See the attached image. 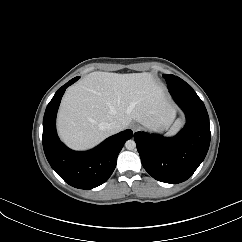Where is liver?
Segmentation results:
<instances>
[{"instance_id": "1", "label": "liver", "mask_w": 242, "mask_h": 242, "mask_svg": "<svg viewBox=\"0 0 242 242\" xmlns=\"http://www.w3.org/2000/svg\"><path fill=\"white\" fill-rule=\"evenodd\" d=\"M175 109L150 73L92 72L65 92L57 118L61 139L71 148L89 149L110 134L106 125L123 129L135 120L147 128L171 122Z\"/></svg>"}]
</instances>
